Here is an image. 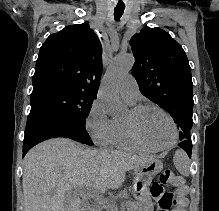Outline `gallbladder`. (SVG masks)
<instances>
[{
  "mask_svg": "<svg viewBox=\"0 0 219 211\" xmlns=\"http://www.w3.org/2000/svg\"><path fill=\"white\" fill-rule=\"evenodd\" d=\"M81 211H85V209H81Z\"/></svg>",
  "mask_w": 219,
  "mask_h": 211,
  "instance_id": "obj_1",
  "label": "gallbladder"
}]
</instances>
